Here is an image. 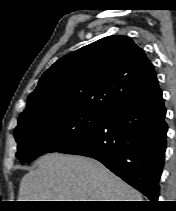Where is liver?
Returning <instances> with one entry per match:
<instances>
[{
  "label": "liver",
  "instance_id": "obj_1",
  "mask_svg": "<svg viewBox=\"0 0 176 211\" xmlns=\"http://www.w3.org/2000/svg\"><path fill=\"white\" fill-rule=\"evenodd\" d=\"M134 188L89 157L48 153L23 176L18 201H142Z\"/></svg>",
  "mask_w": 176,
  "mask_h": 211
}]
</instances>
